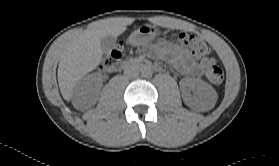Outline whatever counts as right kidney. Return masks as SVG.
I'll list each match as a JSON object with an SVG mask.
<instances>
[{
  "mask_svg": "<svg viewBox=\"0 0 279 166\" xmlns=\"http://www.w3.org/2000/svg\"><path fill=\"white\" fill-rule=\"evenodd\" d=\"M102 85V80L99 76H88L81 79L75 89L74 98L81 106H85L89 101L95 98L97 91Z\"/></svg>",
  "mask_w": 279,
  "mask_h": 166,
  "instance_id": "1",
  "label": "right kidney"
}]
</instances>
